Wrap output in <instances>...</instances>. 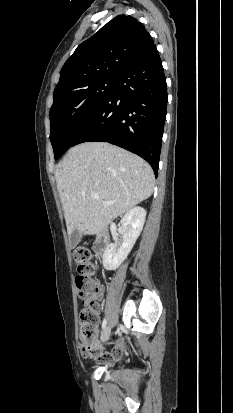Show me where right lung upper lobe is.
Here are the masks:
<instances>
[{"instance_id":"1","label":"right lung upper lobe","mask_w":233,"mask_h":413,"mask_svg":"<svg viewBox=\"0 0 233 413\" xmlns=\"http://www.w3.org/2000/svg\"><path fill=\"white\" fill-rule=\"evenodd\" d=\"M152 45V37L137 19L125 15L115 17L81 43L65 62L54 90V101L94 81L115 78Z\"/></svg>"}]
</instances>
